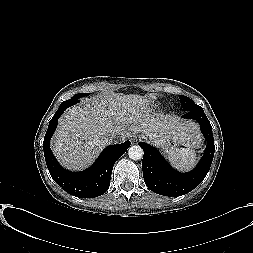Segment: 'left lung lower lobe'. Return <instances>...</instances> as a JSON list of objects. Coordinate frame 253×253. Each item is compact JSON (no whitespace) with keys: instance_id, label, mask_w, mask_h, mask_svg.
Segmentation results:
<instances>
[{"instance_id":"0a47b994","label":"left lung lower lobe","mask_w":253,"mask_h":253,"mask_svg":"<svg viewBox=\"0 0 253 253\" xmlns=\"http://www.w3.org/2000/svg\"><path fill=\"white\" fill-rule=\"evenodd\" d=\"M197 120L207 140V147L196 168L189 173L173 169L153 146L140 142L144 150L142 160L143 177L146 186L164 196H181L196 188L207 175L214 156L215 146L211 124L202 108L186 111L182 116Z\"/></svg>"}]
</instances>
